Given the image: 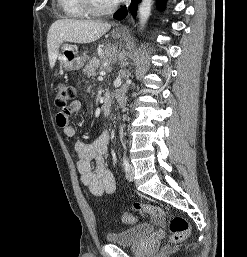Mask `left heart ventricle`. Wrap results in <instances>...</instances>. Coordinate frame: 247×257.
<instances>
[{"instance_id":"1","label":"left heart ventricle","mask_w":247,"mask_h":257,"mask_svg":"<svg viewBox=\"0 0 247 257\" xmlns=\"http://www.w3.org/2000/svg\"><path fill=\"white\" fill-rule=\"evenodd\" d=\"M96 5H98L99 7H105L107 5H109L111 2H113L114 0H94Z\"/></svg>"}]
</instances>
